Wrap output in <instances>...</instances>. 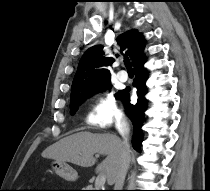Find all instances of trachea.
I'll return each mask as SVG.
<instances>
[{"instance_id": "obj_1", "label": "trachea", "mask_w": 210, "mask_h": 191, "mask_svg": "<svg viewBox=\"0 0 210 191\" xmlns=\"http://www.w3.org/2000/svg\"><path fill=\"white\" fill-rule=\"evenodd\" d=\"M124 64H125L128 72H133L132 66H131V63H130V60L128 57L124 58Z\"/></svg>"}]
</instances>
